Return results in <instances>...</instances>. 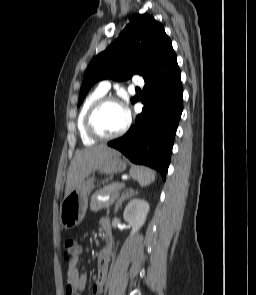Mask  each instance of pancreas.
<instances>
[{
  "label": "pancreas",
  "instance_id": "1",
  "mask_svg": "<svg viewBox=\"0 0 256 295\" xmlns=\"http://www.w3.org/2000/svg\"><path fill=\"white\" fill-rule=\"evenodd\" d=\"M122 187H124L123 183H112L96 191L91 197L90 210L97 212L103 208H108L110 204H112V201L118 196L119 190ZM98 195H110V199L108 201H100L97 199Z\"/></svg>",
  "mask_w": 256,
  "mask_h": 295
}]
</instances>
